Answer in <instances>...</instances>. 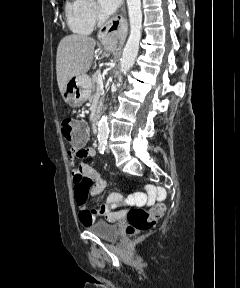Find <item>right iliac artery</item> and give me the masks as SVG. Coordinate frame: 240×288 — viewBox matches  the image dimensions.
<instances>
[{"instance_id":"1","label":"right iliac artery","mask_w":240,"mask_h":288,"mask_svg":"<svg viewBox=\"0 0 240 288\" xmlns=\"http://www.w3.org/2000/svg\"><path fill=\"white\" fill-rule=\"evenodd\" d=\"M105 149H106V141L99 142V147H98L99 152L101 154H104Z\"/></svg>"}]
</instances>
